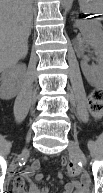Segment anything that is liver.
<instances>
[{"mask_svg":"<svg viewBox=\"0 0 103 193\" xmlns=\"http://www.w3.org/2000/svg\"><path fill=\"white\" fill-rule=\"evenodd\" d=\"M0 19V70L4 71L28 53L32 0H1Z\"/></svg>","mask_w":103,"mask_h":193,"instance_id":"obj_1","label":"liver"}]
</instances>
